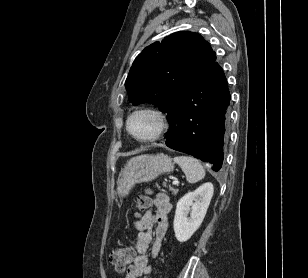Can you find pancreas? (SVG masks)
Segmentation results:
<instances>
[{
    "label": "pancreas",
    "mask_w": 308,
    "mask_h": 278,
    "mask_svg": "<svg viewBox=\"0 0 308 278\" xmlns=\"http://www.w3.org/2000/svg\"><path fill=\"white\" fill-rule=\"evenodd\" d=\"M163 185H164V187H166L165 184H163ZM169 190H170L171 192H173L174 194H176V193L178 192V190H177V189H174L172 186H169Z\"/></svg>",
    "instance_id": "cf45deb5"
}]
</instances>
